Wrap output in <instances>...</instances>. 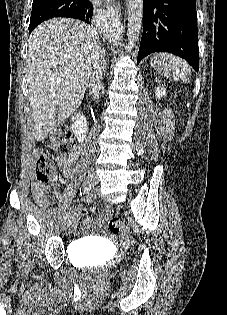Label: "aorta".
Listing matches in <instances>:
<instances>
[{"instance_id": "1", "label": "aorta", "mask_w": 227, "mask_h": 315, "mask_svg": "<svg viewBox=\"0 0 227 315\" xmlns=\"http://www.w3.org/2000/svg\"><path fill=\"white\" fill-rule=\"evenodd\" d=\"M128 30L127 39L136 43L141 33L143 21V0H127ZM106 36L113 42L120 39V33L113 22H108L103 28Z\"/></svg>"}]
</instances>
